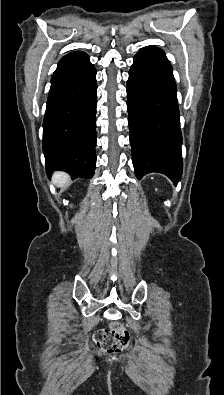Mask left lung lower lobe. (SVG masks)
<instances>
[{
    "mask_svg": "<svg viewBox=\"0 0 224 395\" xmlns=\"http://www.w3.org/2000/svg\"><path fill=\"white\" fill-rule=\"evenodd\" d=\"M172 67L163 50L147 46L134 57L127 81L135 174L160 172L175 184L182 175L180 113Z\"/></svg>",
    "mask_w": 224,
    "mask_h": 395,
    "instance_id": "left-lung-lower-lobe-1",
    "label": "left lung lower lobe"
}]
</instances>
